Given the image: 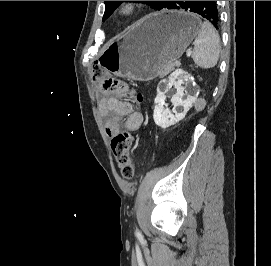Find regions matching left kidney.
Here are the masks:
<instances>
[{"label": "left kidney", "mask_w": 271, "mask_h": 266, "mask_svg": "<svg viewBox=\"0 0 271 266\" xmlns=\"http://www.w3.org/2000/svg\"><path fill=\"white\" fill-rule=\"evenodd\" d=\"M182 78L185 79L187 85L191 82V76L183 70H176L168 77L169 88L173 86L176 89V93L171 98L173 104L172 111L164 108L166 99L165 92L160 90L157 91L153 118L156 125L163 129L182 120L196 100L197 96L189 95L186 92L185 87L182 86L184 84Z\"/></svg>", "instance_id": "1"}]
</instances>
